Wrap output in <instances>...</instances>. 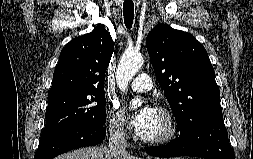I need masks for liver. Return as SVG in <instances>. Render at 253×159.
<instances>
[{"label": "liver", "instance_id": "1", "mask_svg": "<svg viewBox=\"0 0 253 159\" xmlns=\"http://www.w3.org/2000/svg\"><path fill=\"white\" fill-rule=\"evenodd\" d=\"M55 159H138L135 156L126 154L113 155L106 146H93L79 148L66 154L57 156Z\"/></svg>", "mask_w": 253, "mask_h": 159}]
</instances>
